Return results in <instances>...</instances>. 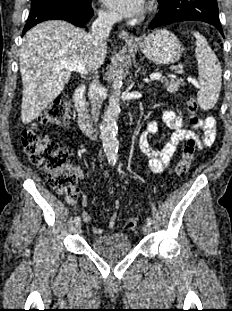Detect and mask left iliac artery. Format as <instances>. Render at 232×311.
Masks as SVG:
<instances>
[{
    "label": "left iliac artery",
    "instance_id": "left-iliac-artery-1",
    "mask_svg": "<svg viewBox=\"0 0 232 311\" xmlns=\"http://www.w3.org/2000/svg\"><path fill=\"white\" fill-rule=\"evenodd\" d=\"M146 221H147L148 224H150V225L152 224V219H151L150 217H148V218L146 219Z\"/></svg>",
    "mask_w": 232,
    "mask_h": 311
}]
</instances>
